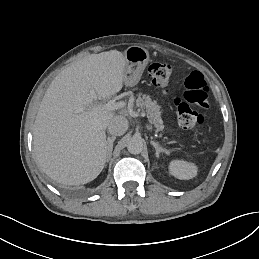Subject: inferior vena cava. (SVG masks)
<instances>
[{
    "label": "inferior vena cava",
    "mask_w": 259,
    "mask_h": 259,
    "mask_svg": "<svg viewBox=\"0 0 259 259\" xmlns=\"http://www.w3.org/2000/svg\"><path fill=\"white\" fill-rule=\"evenodd\" d=\"M127 129L128 120L122 115L114 116L108 125V131L113 136L123 135Z\"/></svg>",
    "instance_id": "obj_1"
}]
</instances>
